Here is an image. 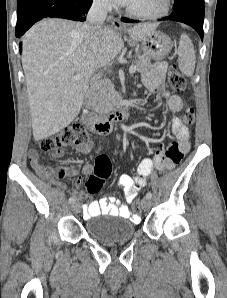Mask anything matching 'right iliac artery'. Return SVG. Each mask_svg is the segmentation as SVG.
I'll use <instances>...</instances> for the list:
<instances>
[{
	"label": "right iliac artery",
	"mask_w": 227,
	"mask_h": 298,
	"mask_svg": "<svg viewBox=\"0 0 227 298\" xmlns=\"http://www.w3.org/2000/svg\"><path fill=\"white\" fill-rule=\"evenodd\" d=\"M74 202H75V198H74V197H70V198H69V203H70V204H73Z\"/></svg>",
	"instance_id": "right-iliac-artery-1"
}]
</instances>
